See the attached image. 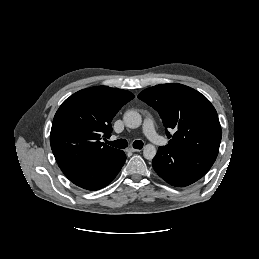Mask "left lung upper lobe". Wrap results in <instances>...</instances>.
Returning a JSON list of instances; mask_svg holds the SVG:
<instances>
[{
    "label": "left lung upper lobe",
    "instance_id": "5c2ea615",
    "mask_svg": "<svg viewBox=\"0 0 259 259\" xmlns=\"http://www.w3.org/2000/svg\"><path fill=\"white\" fill-rule=\"evenodd\" d=\"M138 98L158 111L170 141L181 153L218 155L222 131L217 112L201 93L182 84H160L143 90ZM167 129L175 131L169 135Z\"/></svg>",
    "mask_w": 259,
    "mask_h": 259
}]
</instances>
